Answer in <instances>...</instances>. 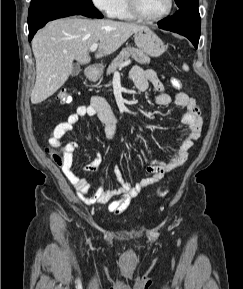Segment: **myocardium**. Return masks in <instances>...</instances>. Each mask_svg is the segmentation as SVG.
<instances>
[{
	"instance_id": "f54148a6",
	"label": "myocardium",
	"mask_w": 243,
	"mask_h": 289,
	"mask_svg": "<svg viewBox=\"0 0 243 289\" xmlns=\"http://www.w3.org/2000/svg\"><path fill=\"white\" fill-rule=\"evenodd\" d=\"M175 1L174 0H169L168 8L167 10L157 16H147L145 15L139 6V1L138 0H127V6L130 11V13L137 19L143 20V21H158L163 18H166L169 16L174 8Z\"/></svg>"
}]
</instances>
